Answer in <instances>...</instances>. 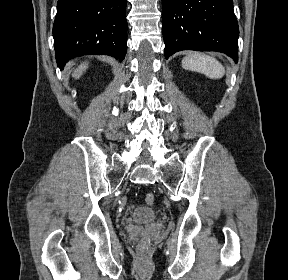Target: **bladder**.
<instances>
[{
  "instance_id": "obj_1",
  "label": "bladder",
  "mask_w": 288,
  "mask_h": 280,
  "mask_svg": "<svg viewBox=\"0 0 288 280\" xmlns=\"http://www.w3.org/2000/svg\"><path fill=\"white\" fill-rule=\"evenodd\" d=\"M131 219L137 223H149L156 218L154 209L147 206H137L131 213Z\"/></svg>"
}]
</instances>
